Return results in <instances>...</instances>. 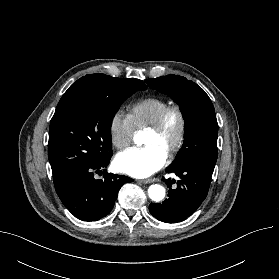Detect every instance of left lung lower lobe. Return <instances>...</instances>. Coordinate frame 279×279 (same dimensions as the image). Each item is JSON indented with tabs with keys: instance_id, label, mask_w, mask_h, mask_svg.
Listing matches in <instances>:
<instances>
[{
	"instance_id": "0a47b994",
	"label": "left lung lower lobe",
	"mask_w": 279,
	"mask_h": 279,
	"mask_svg": "<svg viewBox=\"0 0 279 279\" xmlns=\"http://www.w3.org/2000/svg\"><path fill=\"white\" fill-rule=\"evenodd\" d=\"M167 172L175 173L180 180H162L169 188L168 198L162 203H152L149 211L158 220L177 223L185 220L198 209L207 196L212 174L193 166L167 167Z\"/></svg>"
}]
</instances>
